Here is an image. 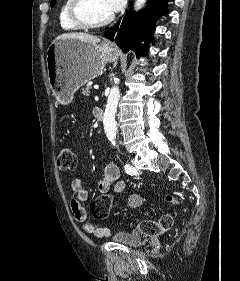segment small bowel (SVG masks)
<instances>
[{"label": "small bowel", "instance_id": "1", "mask_svg": "<svg viewBox=\"0 0 240 281\" xmlns=\"http://www.w3.org/2000/svg\"><path fill=\"white\" fill-rule=\"evenodd\" d=\"M70 186L72 191L70 207L75 219L82 224L85 232L97 237L107 236L109 234L108 228L98 227L93 222L87 220V212L83 204L88 198V192L84 187L83 181L78 178L73 179ZM98 190L103 194L109 193L111 190L116 194L126 193L127 186L120 179V170L117 165L109 163L105 166L102 177L98 182ZM127 203L129 207L137 208L141 205L142 198L136 193H131L128 195Z\"/></svg>", "mask_w": 240, "mask_h": 281}]
</instances>
